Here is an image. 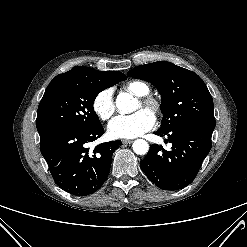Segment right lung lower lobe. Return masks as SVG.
<instances>
[{
	"label": "right lung lower lobe",
	"mask_w": 247,
	"mask_h": 247,
	"mask_svg": "<svg viewBox=\"0 0 247 247\" xmlns=\"http://www.w3.org/2000/svg\"><path fill=\"white\" fill-rule=\"evenodd\" d=\"M104 134L102 125L91 129H64L40 136V150L56 184L65 191L85 196L105 182L111 158L120 140L101 143L89 150L90 142Z\"/></svg>",
	"instance_id": "right-lung-lower-lobe-1"
}]
</instances>
